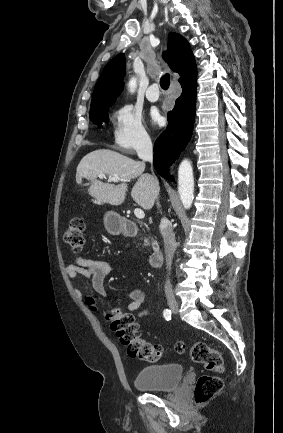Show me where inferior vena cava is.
<instances>
[{
    "mask_svg": "<svg viewBox=\"0 0 283 433\" xmlns=\"http://www.w3.org/2000/svg\"><path fill=\"white\" fill-rule=\"evenodd\" d=\"M138 156L139 158H142V160H149V162H152L153 160V148H152V142L150 138H146V140H143L140 148H137ZM151 180H153L155 184V188H157V192H159V182L154 176V174H150ZM165 219H162V225H165L164 223ZM161 235L164 239V245H165V255H166V269L167 271H170L174 253L176 251V241H175V235L173 233V229L168 223L166 227H163V229H160ZM172 285L170 283V279H166L165 283V293H172L171 289Z\"/></svg>",
    "mask_w": 283,
    "mask_h": 433,
    "instance_id": "obj_1",
    "label": "inferior vena cava"
}]
</instances>
